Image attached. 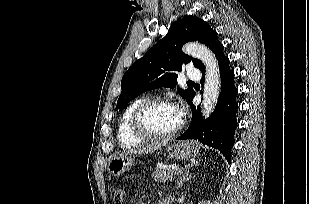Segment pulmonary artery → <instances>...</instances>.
Masks as SVG:
<instances>
[{"label":"pulmonary artery","instance_id":"e3ab8cb5","mask_svg":"<svg viewBox=\"0 0 309 204\" xmlns=\"http://www.w3.org/2000/svg\"><path fill=\"white\" fill-rule=\"evenodd\" d=\"M186 76L189 80H199L201 72L198 69H190L187 71Z\"/></svg>","mask_w":309,"mask_h":204}]
</instances>
